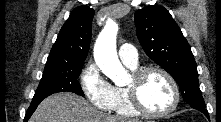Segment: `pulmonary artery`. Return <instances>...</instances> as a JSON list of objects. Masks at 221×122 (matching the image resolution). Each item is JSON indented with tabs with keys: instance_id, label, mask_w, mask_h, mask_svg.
Returning <instances> with one entry per match:
<instances>
[{
	"instance_id": "e3ab8cb5",
	"label": "pulmonary artery",
	"mask_w": 221,
	"mask_h": 122,
	"mask_svg": "<svg viewBox=\"0 0 221 122\" xmlns=\"http://www.w3.org/2000/svg\"><path fill=\"white\" fill-rule=\"evenodd\" d=\"M118 54L124 64L130 66L138 65V52L133 45L128 43L121 45Z\"/></svg>"
}]
</instances>
